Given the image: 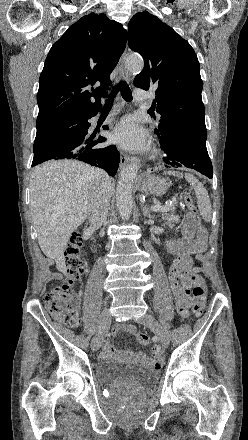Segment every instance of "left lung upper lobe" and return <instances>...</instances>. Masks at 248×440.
Listing matches in <instances>:
<instances>
[{"mask_svg": "<svg viewBox=\"0 0 248 440\" xmlns=\"http://www.w3.org/2000/svg\"><path fill=\"white\" fill-rule=\"evenodd\" d=\"M128 45L145 61L134 85L144 90L156 88L153 107L161 114L155 129L160 140L175 136L205 143L203 82L191 45L147 11L135 14L130 20Z\"/></svg>", "mask_w": 248, "mask_h": 440, "instance_id": "obj_1", "label": "left lung upper lobe"}]
</instances>
